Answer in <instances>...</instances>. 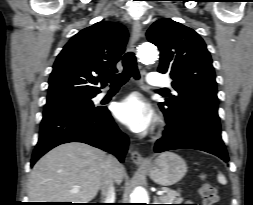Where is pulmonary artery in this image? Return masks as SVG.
Listing matches in <instances>:
<instances>
[{"label":"pulmonary artery","mask_w":253,"mask_h":205,"mask_svg":"<svg viewBox=\"0 0 253 205\" xmlns=\"http://www.w3.org/2000/svg\"><path fill=\"white\" fill-rule=\"evenodd\" d=\"M147 82L148 84L152 86H160V87H167L170 86V81L165 80L159 76V74L151 72L147 76ZM107 95V92H102L98 98L102 99Z\"/></svg>","instance_id":"obj_1"}]
</instances>
